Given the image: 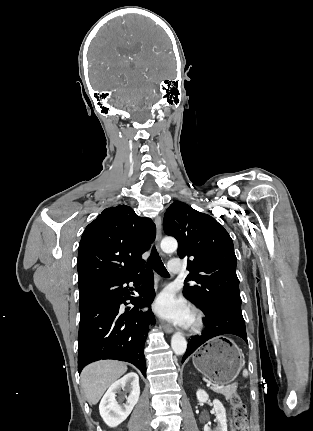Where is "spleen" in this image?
Instances as JSON below:
<instances>
[{
  "mask_svg": "<svg viewBox=\"0 0 313 431\" xmlns=\"http://www.w3.org/2000/svg\"><path fill=\"white\" fill-rule=\"evenodd\" d=\"M243 376L247 377L248 376V371L246 369L243 370Z\"/></svg>",
  "mask_w": 313,
  "mask_h": 431,
  "instance_id": "spleen-1",
  "label": "spleen"
}]
</instances>
